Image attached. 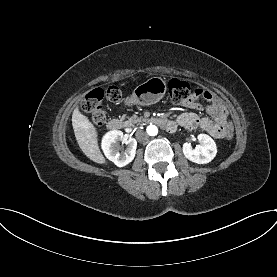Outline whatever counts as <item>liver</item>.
<instances>
[{
    "label": "liver",
    "mask_w": 277,
    "mask_h": 277,
    "mask_svg": "<svg viewBox=\"0 0 277 277\" xmlns=\"http://www.w3.org/2000/svg\"><path fill=\"white\" fill-rule=\"evenodd\" d=\"M72 126L77 143L83 153L90 160L98 164L106 163L98 145L96 128L89 119L79 111V108H76L72 114Z\"/></svg>",
    "instance_id": "6515ba94"
}]
</instances>
